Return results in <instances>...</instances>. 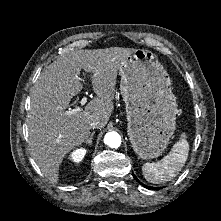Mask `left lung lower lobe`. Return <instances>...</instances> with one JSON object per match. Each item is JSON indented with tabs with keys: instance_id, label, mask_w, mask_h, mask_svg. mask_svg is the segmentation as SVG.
I'll return each mask as SVG.
<instances>
[{
	"instance_id": "0a47b994",
	"label": "left lung lower lobe",
	"mask_w": 221,
	"mask_h": 221,
	"mask_svg": "<svg viewBox=\"0 0 221 221\" xmlns=\"http://www.w3.org/2000/svg\"><path fill=\"white\" fill-rule=\"evenodd\" d=\"M133 177L138 181V179L136 178V176L133 174ZM140 183V182H139ZM145 188H147V189H155V190H158V189H160V187H150V186H146V185H144V184H142Z\"/></svg>"
}]
</instances>
